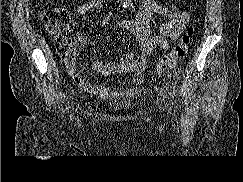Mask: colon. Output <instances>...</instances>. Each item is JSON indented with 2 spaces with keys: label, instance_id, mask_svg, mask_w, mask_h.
I'll return each mask as SVG.
<instances>
[{
  "label": "colon",
  "instance_id": "1",
  "mask_svg": "<svg viewBox=\"0 0 243 182\" xmlns=\"http://www.w3.org/2000/svg\"><path fill=\"white\" fill-rule=\"evenodd\" d=\"M39 18L46 31L52 36L54 45L60 56L71 58L76 49L74 43V31L70 27V15L64 8H46L40 11ZM194 28L188 26L181 40L173 49L162 56L151 71L152 74H160L172 69L178 60L183 58L188 51Z\"/></svg>",
  "mask_w": 243,
  "mask_h": 182
}]
</instances>
